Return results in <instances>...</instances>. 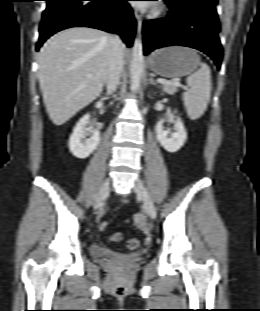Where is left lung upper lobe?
<instances>
[{"mask_svg": "<svg viewBox=\"0 0 260 311\" xmlns=\"http://www.w3.org/2000/svg\"><path fill=\"white\" fill-rule=\"evenodd\" d=\"M167 1L174 2V3L187 2V1L196 2V3L204 5L205 7L210 8L215 13H216L215 6L218 2V0H167Z\"/></svg>", "mask_w": 260, "mask_h": 311, "instance_id": "obj_1", "label": "left lung upper lobe"}]
</instances>
